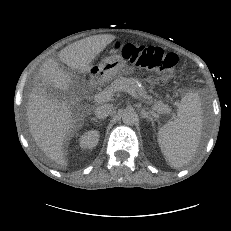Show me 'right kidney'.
I'll return each mask as SVG.
<instances>
[{
  "label": "right kidney",
  "instance_id": "1",
  "mask_svg": "<svg viewBox=\"0 0 231 231\" xmlns=\"http://www.w3.org/2000/svg\"><path fill=\"white\" fill-rule=\"evenodd\" d=\"M99 132L97 130H89L79 138V145L82 149H92L96 147L99 141Z\"/></svg>",
  "mask_w": 231,
  "mask_h": 231
}]
</instances>
